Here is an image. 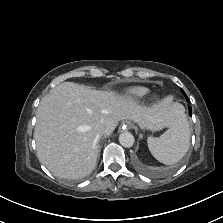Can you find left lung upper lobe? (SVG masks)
Here are the masks:
<instances>
[{
  "label": "left lung upper lobe",
  "mask_w": 223,
  "mask_h": 223,
  "mask_svg": "<svg viewBox=\"0 0 223 223\" xmlns=\"http://www.w3.org/2000/svg\"><path fill=\"white\" fill-rule=\"evenodd\" d=\"M181 91H182V93L184 94V96H186L185 92H184L183 90H181Z\"/></svg>",
  "instance_id": "left-lung-upper-lobe-1"
}]
</instances>
